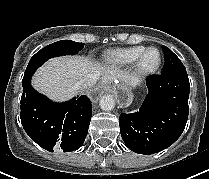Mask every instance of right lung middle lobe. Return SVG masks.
<instances>
[{
  "instance_id": "obj_1",
  "label": "right lung middle lobe",
  "mask_w": 209,
  "mask_h": 179,
  "mask_svg": "<svg viewBox=\"0 0 209 179\" xmlns=\"http://www.w3.org/2000/svg\"><path fill=\"white\" fill-rule=\"evenodd\" d=\"M83 47V43L71 40H61L42 48L31 58L22 81L30 78L36 69L48 59L62 55H74L81 51Z\"/></svg>"
}]
</instances>
